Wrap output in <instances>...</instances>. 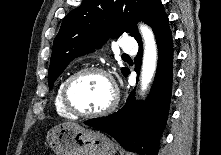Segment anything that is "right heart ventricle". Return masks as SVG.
Instances as JSON below:
<instances>
[{"label": "right heart ventricle", "mask_w": 221, "mask_h": 155, "mask_svg": "<svg viewBox=\"0 0 221 155\" xmlns=\"http://www.w3.org/2000/svg\"><path fill=\"white\" fill-rule=\"evenodd\" d=\"M66 81V78L63 79L60 84L57 87L56 94H55V99H54V104H55V109L57 113L65 118H74L75 116L69 113L63 106L62 101H61V91L62 87Z\"/></svg>", "instance_id": "e07e8e85"}]
</instances>
